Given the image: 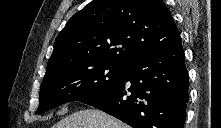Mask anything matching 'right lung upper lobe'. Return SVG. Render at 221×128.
Segmentation results:
<instances>
[{"label":"right lung upper lobe","instance_id":"cb5924a9","mask_svg":"<svg viewBox=\"0 0 221 128\" xmlns=\"http://www.w3.org/2000/svg\"><path fill=\"white\" fill-rule=\"evenodd\" d=\"M180 43L162 0H93L57 36L46 73L77 62L127 66Z\"/></svg>","mask_w":221,"mask_h":128}]
</instances>
